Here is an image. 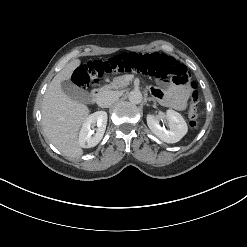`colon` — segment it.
<instances>
[{
	"label": "colon",
	"mask_w": 247,
	"mask_h": 247,
	"mask_svg": "<svg viewBox=\"0 0 247 247\" xmlns=\"http://www.w3.org/2000/svg\"><path fill=\"white\" fill-rule=\"evenodd\" d=\"M133 71L164 80H172L178 85H187L189 88V123L192 128L198 126L199 93L197 83L191 80L190 74L183 64L166 54L157 52L123 53L108 61H90L75 70L73 80L78 87L87 88L97 83L106 74Z\"/></svg>",
	"instance_id": "obj_1"
}]
</instances>
